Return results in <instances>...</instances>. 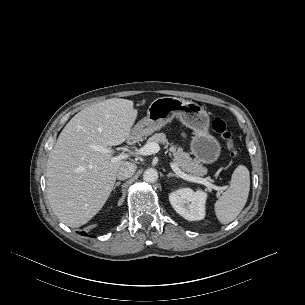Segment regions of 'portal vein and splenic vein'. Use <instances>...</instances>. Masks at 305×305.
Listing matches in <instances>:
<instances>
[{"label": "portal vein and splenic vein", "mask_w": 305, "mask_h": 305, "mask_svg": "<svg viewBox=\"0 0 305 305\" xmlns=\"http://www.w3.org/2000/svg\"><path fill=\"white\" fill-rule=\"evenodd\" d=\"M91 149L94 151H98L101 153H110V154H114L115 151L101 146V145H96V144H91L90 145ZM160 146L157 143H149L144 145L143 147L135 150L134 152H128V153H119L117 156L113 157L111 162H116L118 160H122V159H126L128 158L130 155H142V156H147V155H151V154H155L158 153L160 151ZM170 166L172 168V170L182 179L190 181V182H195V183H200L205 185L209 190H217L220 192H223L226 189V186H216L213 185L212 183H210L206 178H200V177H196V176H192V175H188L186 173H184L174 162H170Z\"/></svg>", "instance_id": "18ae733b"}]
</instances>
